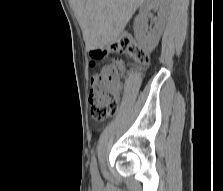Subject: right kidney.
I'll return each mask as SVG.
<instances>
[{
    "label": "right kidney",
    "instance_id": "right-kidney-1",
    "mask_svg": "<svg viewBox=\"0 0 223 191\" xmlns=\"http://www.w3.org/2000/svg\"><path fill=\"white\" fill-rule=\"evenodd\" d=\"M167 0H145L140 7V14L134 22L135 37L140 47L146 52H152L157 46L165 23V9ZM152 9L158 10V17L154 28L148 32L147 16Z\"/></svg>",
    "mask_w": 223,
    "mask_h": 191
}]
</instances>
